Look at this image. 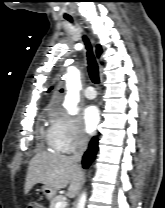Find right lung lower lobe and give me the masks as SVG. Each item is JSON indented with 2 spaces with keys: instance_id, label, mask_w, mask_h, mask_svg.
Masks as SVG:
<instances>
[{
  "instance_id": "right-lung-lower-lobe-1",
  "label": "right lung lower lobe",
  "mask_w": 165,
  "mask_h": 208,
  "mask_svg": "<svg viewBox=\"0 0 165 208\" xmlns=\"http://www.w3.org/2000/svg\"><path fill=\"white\" fill-rule=\"evenodd\" d=\"M98 149V138L93 137L89 143L87 152L83 156L82 164L84 168H88L95 158Z\"/></svg>"
}]
</instances>
